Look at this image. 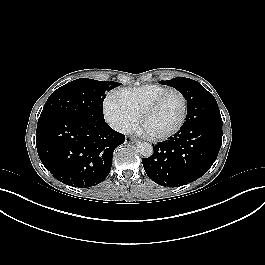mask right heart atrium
Returning a JSON list of instances; mask_svg holds the SVG:
<instances>
[{"instance_id": "obj_1", "label": "right heart atrium", "mask_w": 265, "mask_h": 265, "mask_svg": "<svg viewBox=\"0 0 265 265\" xmlns=\"http://www.w3.org/2000/svg\"><path fill=\"white\" fill-rule=\"evenodd\" d=\"M105 121L116 131L130 132L135 128L138 116L126 104L117 90L107 92L103 100Z\"/></svg>"}]
</instances>
